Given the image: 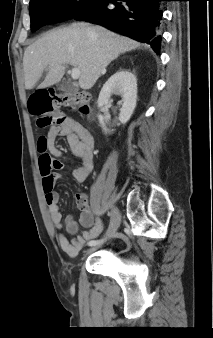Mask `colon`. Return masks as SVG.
Returning <instances> with one entry per match:
<instances>
[{
    "instance_id": "obj_1",
    "label": "colon",
    "mask_w": 213,
    "mask_h": 338,
    "mask_svg": "<svg viewBox=\"0 0 213 338\" xmlns=\"http://www.w3.org/2000/svg\"><path fill=\"white\" fill-rule=\"evenodd\" d=\"M90 97L85 93H54L51 90L35 91L28 99V110L36 117L37 125L48 127L61 125L65 117L60 111L69 107L81 114L90 111Z\"/></svg>"
}]
</instances>
